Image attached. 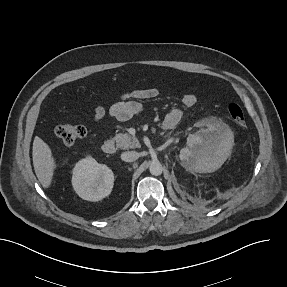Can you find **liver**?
I'll use <instances>...</instances> for the list:
<instances>
[{
  "label": "liver",
  "mask_w": 287,
  "mask_h": 287,
  "mask_svg": "<svg viewBox=\"0 0 287 287\" xmlns=\"http://www.w3.org/2000/svg\"><path fill=\"white\" fill-rule=\"evenodd\" d=\"M32 157L34 170L38 180L43 188H49L57 164L49 145L38 136H36L33 141Z\"/></svg>",
  "instance_id": "obj_1"
}]
</instances>
